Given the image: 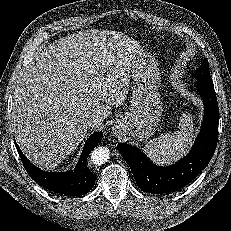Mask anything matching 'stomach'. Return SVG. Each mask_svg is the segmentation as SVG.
Instances as JSON below:
<instances>
[{
  "mask_svg": "<svg viewBox=\"0 0 231 231\" xmlns=\"http://www.w3.org/2000/svg\"><path fill=\"white\" fill-rule=\"evenodd\" d=\"M131 108L117 122V130L136 141H147L158 127L162 116L159 92L161 73L153 56L142 54L131 65Z\"/></svg>",
  "mask_w": 231,
  "mask_h": 231,
  "instance_id": "1",
  "label": "stomach"
}]
</instances>
